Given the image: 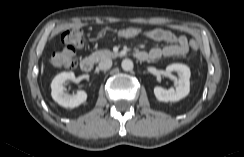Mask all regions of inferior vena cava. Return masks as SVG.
<instances>
[{
    "instance_id": "obj_1",
    "label": "inferior vena cava",
    "mask_w": 244,
    "mask_h": 157,
    "mask_svg": "<svg viewBox=\"0 0 244 157\" xmlns=\"http://www.w3.org/2000/svg\"><path fill=\"white\" fill-rule=\"evenodd\" d=\"M111 66H112V60L104 59V60L99 62L98 68L100 70H108L111 68Z\"/></svg>"
}]
</instances>
